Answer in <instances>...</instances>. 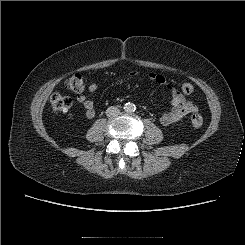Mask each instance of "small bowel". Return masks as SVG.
<instances>
[{
  "instance_id": "small-bowel-1",
  "label": "small bowel",
  "mask_w": 245,
  "mask_h": 245,
  "mask_svg": "<svg viewBox=\"0 0 245 245\" xmlns=\"http://www.w3.org/2000/svg\"><path fill=\"white\" fill-rule=\"evenodd\" d=\"M132 76H136L137 72H132ZM149 79L161 86H164L170 93V106L171 108L163 113L160 117V122L164 126L172 125L186 115L194 113L197 111L196 105L188 101L183 94H181L175 86L168 81L163 75L158 73H149ZM97 89V84L95 82H90L88 85L89 92H95ZM77 101L83 105L85 109V115L87 118L91 119L95 116L96 111L93 102L86 97L84 94H79L77 96Z\"/></svg>"
}]
</instances>
